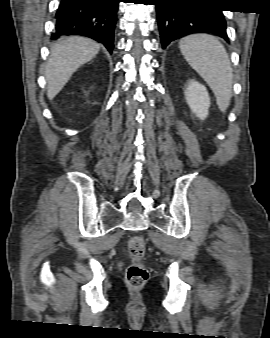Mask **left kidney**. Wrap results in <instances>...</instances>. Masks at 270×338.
Wrapping results in <instances>:
<instances>
[{
	"instance_id": "left-kidney-1",
	"label": "left kidney",
	"mask_w": 270,
	"mask_h": 338,
	"mask_svg": "<svg viewBox=\"0 0 270 338\" xmlns=\"http://www.w3.org/2000/svg\"><path fill=\"white\" fill-rule=\"evenodd\" d=\"M185 99L198 118L204 120L208 116L210 97L204 85L191 80L185 91Z\"/></svg>"
}]
</instances>
